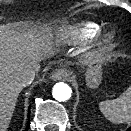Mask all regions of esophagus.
I'll return each instance as SVG.
<instances>
[{
	"instance_id": "esophagus-1",
	"label": "esophagus",
	"mask_w": 131,
	"mask_h": 131,
	"mask_svg": "<svg viewBox=\"0 0 131 131\" xmlns=\"http://www.w3.org/2000/svg\"><path fill=\"white\" fill-rule=\"evenodd\" d=\"M68 74V70L66 68H59L56 69L52 74H51V79L54 81L61 80L64 77H66Z\"/></svg>"
}]
</instances>
